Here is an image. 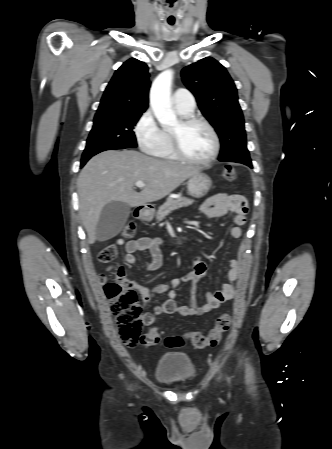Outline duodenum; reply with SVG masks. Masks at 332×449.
I'll use <instances>...</instances> for the list:
<instances>
[{
  "mask_svg": "<svg viewBox=\"0 0 332 449\" xmlns=\"http://www.w3.org/2000/svg\"><path fill=\"white\" fill-rule=\"evenodd\" d=\"M148 215H149V209H148L147 207H145V206L140 207V208L138 209V211H137V218H138L140 221H145V220H147Z\"/></svg>",
  "mask_w": 332,
  "mask_h": 449,
  "instance_id": "1",
  "label": "duodenum"
}]
</instances>
